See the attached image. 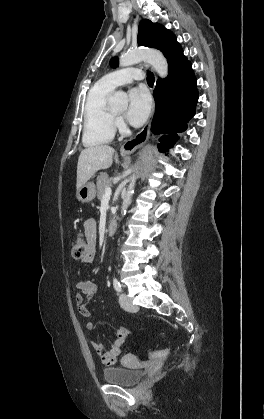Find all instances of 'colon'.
Segmentation results:
<instances>
[{
	"label": "colon",
	"instance_id": "1",
	"mask_svg": "<svg viewBox=\"0 0 264 419\" xmlns=\"http://www.w3.org/2000/svg\"><path fill=\"white\" fill-rule=\"evenodd\" d=\"M89 252V239L84 232H79L73 241L72 253L73 256L77 259H82L87 256ZM169 349L152 351L149 356L152 359H163L169 355Z\"/></svg>",
	"mask_w": 264,
	"mask_h": 419
}]
</instances>
